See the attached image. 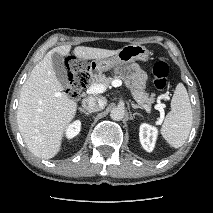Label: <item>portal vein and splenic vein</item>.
<instances>
[{
	"instance_id": "18ae733b",
	"label": "portal vein and splenic vein",
	"mask_w": 213,
	"mask_h": 213,
	"mask_svg": "<svg viewBox=\"0 0 213 213\" xmlns=\"http://www.w3.org/2000/svg\"><path fill=\"white\" fill-rule=\"evenodd\" d=\"M111 85L113 87H119L122 85V81L120 79H115L112 81ZM106 86L103 85V84H94V85H91L88 89H87V94H99V93H103L106 91ZM164 105L163 104H157L155 105V109L156 110H159L160 111V114H161V118L164 117ZM145 109L147 110V112L150 111L149 107H145Z\"/></svg>"
}]
</instances>
